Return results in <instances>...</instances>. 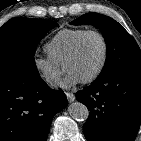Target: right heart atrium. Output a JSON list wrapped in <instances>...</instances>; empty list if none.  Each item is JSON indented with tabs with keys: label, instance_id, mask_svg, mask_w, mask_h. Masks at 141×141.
Masks as SVG:
<instances>
[{
	"label": "right heart atrium",
	"instance_id": "d8ad5b80",
	"mask_svg": "<svg viewBox=\"0 0 141 141\" xmlns=\"http://www.w3.org/2000/svg\"><path fill=\"white\" fill-rule=\"evenodd\" d=\"M33 66L40 78L49 86L56 85L60 80L61 66L50 56L35 55Z\"/></svg>",
	"mask_w": 141,
	"mask_h": 141
}]
</instances>
